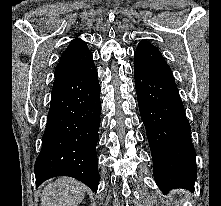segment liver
I'll list each match as a JSON object with an SVG mask.
<instances>
[{"mask_svg":"<svg viewBox=\"0 0 221 206\" xmlns=\"http://www.w3.org/2000/svg\"><path fill=\"white\" fill-rule=\"evenodd\" d=\"M85 192L86 187L79 181L62 177L43 189L41 206H78L84 199Z\"/></svg>","mask_w":221,"mask_h":206,"instance_id":"1","label":"liver"}]
</instances>
